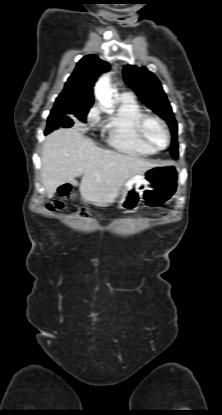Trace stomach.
<instances>
[{
	"instance_id": "obj_1",
	"label": "stomach",
	"mask_w": 222,
	"mask_h": 415,
	"mask_svg": "<svg viewBox=\"0 0 222 415\" xmlns=\"http://www.w3.org/2000/svg\"><path fill=\"white\" fill-rule=\"evenodd\" d=\"M179 175V167L167 163L132 176L119 191V208L133 211L142 202L150 207L167 204L178 192Z\"/></svg>"
}]
</instances>
